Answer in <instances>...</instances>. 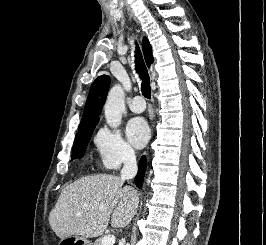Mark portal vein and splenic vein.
Listing matches in <instances>:
<instances>
[{
  "instance_id": "obj_1",
  "label": "portal vein and splenic vein",
  "mask_w": 266,
  "mask_h": 245,
  "mask_svg": "<svg viewBox=\"0 0 266 245\" xmlns=\"http://www.w3.org/2000/svg\"><path fill=\"white\" fill-rule=\"evenodd\" d=\"M100 209H103V207H100ZM114 243V235H107V237H103V239H101V245H114Z\"/></svg>"
}]
</instances>
